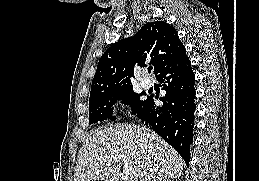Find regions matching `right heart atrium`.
<instances>
[{"label":"right heart atrium","instance_id":"obj_1","mask_svg":"<svg viewBox=\"0 0 259 181\" xmlns=\"http://www.w3.org/2000/svg\"><path fill=\"white\" fill-rule=\"evenodd\" d=\"M117 108L123 110L125 108V103L122 100H119L116 104Z\"/></svg>","mask_w":259,"mask_h":181}]
</instances>
